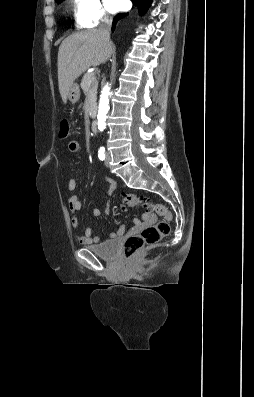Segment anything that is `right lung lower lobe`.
<instances>
[{
	"label": "right lung lower lobe",
	"instance_id": "right-lung-lower-lobe-1",
	"mask_svg": "<svg viewBox=\"0 0 254 397\" xmlns=\"http://www.w3.org/2000/svg\"><path fill=\"white\" fill-rule=\"evenodd\" d=\"M131 1L133 2V4H135L138 7L139 14H144L152 2V0H131ZM126 16H128V13L117 14L113 20L112 30H114L117 22Z\"/></svg>",
	"mask_w": 254,
	"mask_h": 397
}]
</instances>
